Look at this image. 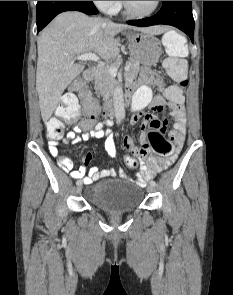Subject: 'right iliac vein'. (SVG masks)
I'll use <instances>...</instances> for the list:
<instances>
[{"label":"right iliac vein","instance_id":"63e3f726","mask_svg":"<svg viewBox=\"0 0 233 295\" xmlns=\"http://www.w3.org/2000/svg\"><path fill=\"white\" fill-rule=\"evenodd\" d=\"M82 187H83V181L80 179L77 181V187H76V192L79 194L82 191Z\"/></svg>","mask_w":233,"mask_h":295}]
</instances>
